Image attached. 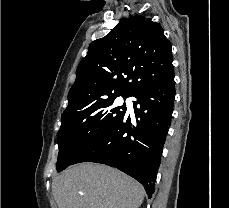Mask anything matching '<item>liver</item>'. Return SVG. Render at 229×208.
<instances>
[{
    "instance_id": "obj_1",
    "label": "liver",
    "mask_w": 229,
    "mask_h": 208,
    "mask_svg": "<svg viewBox=\"0 0 229 208\" xmlns=\"http://www.w3.org/2000/svg\"><path fill=\"white\" fill-rule=\"evenodd\" d=\"M58 208H140L144 188L103 164H75L52 182Z\"/></svg>"
}]
</instances>
